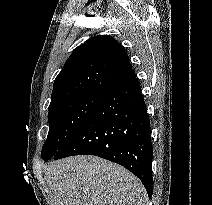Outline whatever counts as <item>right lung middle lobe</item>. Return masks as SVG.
Instances as JSON below:
<instances>
[{
    "instance_id": "dd1d6c3e",
    "label": "right lung middle lobe",
    "mask_w": 212,
    "mask_h": 205,
    "mask_svg": "<svg viewBox=\"0 0 212 205\" xmlns=\"http://www.w3.org/2000/svg\"><path fill=\"white\" fill-rule=\"evenodd\" d=\"M102 93H92L67 100L48 112L49 132L41 156L48 160L57 154L88 119Z\"/></svg>"
}]
</instances>
